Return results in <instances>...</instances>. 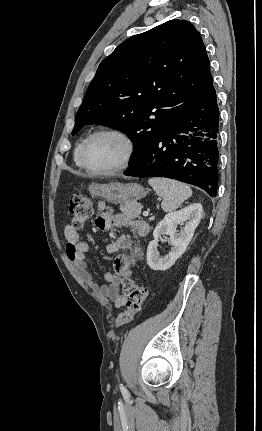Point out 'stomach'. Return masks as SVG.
<instances>
[{
    "mask_svg": "<svg viewBox=\"0 0 262 431\" xmlns=\"http://www.w3.org/2000/svg\"><path fill=\"white\" fill-rule=\"evenodd\" d=\"M89 192L94 197H100L112 204H127L134 206L137 200L145 197L147 191L138 183L111 182L108 184L92 183Z\"/></svg>",
    "mask_w": 262,
    "mask_h": 431,
    "instance_id": "stomach-1",
    "label": "stomach"
}]
</instances>
